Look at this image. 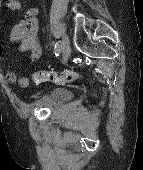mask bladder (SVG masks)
I'll return each instance as SVG.
<instances>
[{"label": "bladder", "instance_id": "obj_1", "mask_svg": "<svg viewBox=\"0 0 143 170\" xmlns=\"http://www.w3.org/2000/svg\"><path fill=\"white\" fill-rule=\"evenodd\" d=\"M52 97L55 104H62L71 99V94L67 88L58 87L53 90Z\"/></svg>", "mask_w": 143, "mask_h": 170}]
</instances>
